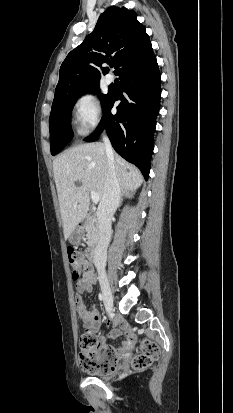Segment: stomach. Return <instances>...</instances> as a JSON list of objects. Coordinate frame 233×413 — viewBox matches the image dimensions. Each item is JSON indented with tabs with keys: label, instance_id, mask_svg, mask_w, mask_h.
Here are the masks:
<instances>
[{
	"label": "stomach",
	"instance_id": "stomach-1",
	"mask_svg": "<svg viewBox=\"0 0 233 413\" xmlns=\"http://www.w3.org/2000/svg\"><path fill=\"white\" fill-rule=\"evenodd\" d=\"M84 236V230L81 226H77L69 236V242L73 245H78Z\"/></svg>",
	"mask_w": 233,
	"mask_h": 413
}]
</instances>
